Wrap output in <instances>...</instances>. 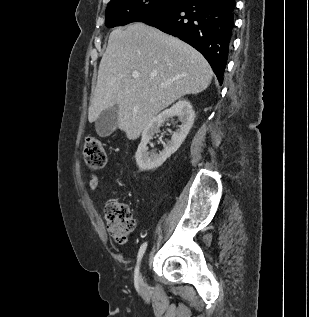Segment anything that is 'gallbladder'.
Wrapping results in <instances>:
<instances>
[{
	"label": "gallbladder",
	"instance_id": "obj_1",
	"mask_svg": "<svg viewBox=\"0 0 309 317\" xmlns=\"http://www.w3.org/2000/svg\"><path fill=\"white\" fill-rule=\"evenodd\" d=\"M118 106L104 110L95 122V129L100 137L109 136L117 127Z\"/></svg>",
	"mask_w": 309,
	"mask_h": 317
}]
</instances>
